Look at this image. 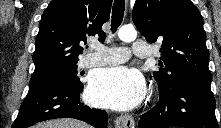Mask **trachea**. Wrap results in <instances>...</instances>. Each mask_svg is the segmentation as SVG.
Listing matches in <instances>:
<instances>
[{"mask_svg":"<svg viewBox=\"0 0 221 128\" xmlns=\"http://www.w3.org/2000/svg\"><path fill=\"white\" fill-rule=\"evenodd\" d=\"M124 11H125V1L115 0L112 8V20H111L112 33H115L117 31V28L121 25Z\"/></svg>","mask_w":221,"mask_h":128,"instance_id":"3493384b","label":"trachea"}]
</instances>
